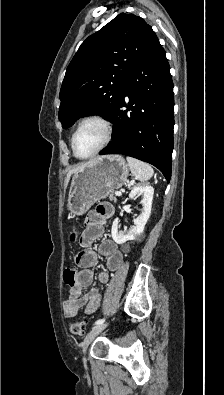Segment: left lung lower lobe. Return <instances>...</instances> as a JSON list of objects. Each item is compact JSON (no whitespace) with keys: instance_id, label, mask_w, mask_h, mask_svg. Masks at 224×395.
I'll return each mask as SVG.
<instances>
[{"instance_id":"1","label":"left lung lower lobe","mask_w":224,"mask_h":395,"mask_svg":"<svg viewBox=\"0 0 224 395\" xmlns=\"http://www.w3.org/2000/svg\"><path fill=\"white\" fill-rule=\"evenodd\" d=\"M159 40L134 68L110 121L113 141L100 154H123L157 167L171 177L173 82ZM125 97L129 102L125 103ZM126 107V110H123Z\"/></svg>"}]
</instances>
